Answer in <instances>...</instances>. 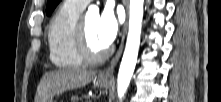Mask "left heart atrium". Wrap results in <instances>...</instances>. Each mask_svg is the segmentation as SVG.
Masks as SVG:
<instances>
[{"mask_svg": "<svg viewBox=\"0 0 221 102\" xmlns=\"http://www.w3.org/2000/svg\"><path fill=\"white\" fill-rule=\"evenodd\" d=\"M120 18L111 6H107L98 17L97 37L105 46L110 45L119 29Z\"/></svg>", "mask_w": 221, "mask_h": 102, "instance_id": "1", "label": "left heart atrium"}]
</instances>
